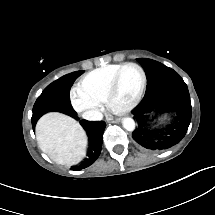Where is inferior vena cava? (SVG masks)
Masks as SVG:
<instances>
[{
  "mask_svg": "<svg viewBox=\"0 0 215 215\" xmlns=\"http://www.w3.org/2000/svg\"><path fill=\"white\" fill-rule=\"evenodd\" d=\"M82 117L89 121H100L103 119V114L97 110H89V111H85L82 114Z\"/></svg>",
  "mask_w": 215,
  "mask_h": 215,
  "instance_id": "602c4592",
  "label": "inferior vena cava"
}]
</instances>
